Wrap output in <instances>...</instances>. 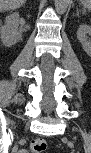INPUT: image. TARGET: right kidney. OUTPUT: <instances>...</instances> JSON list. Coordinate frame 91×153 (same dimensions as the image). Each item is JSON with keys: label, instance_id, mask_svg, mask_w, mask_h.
Listing matches in <instances>:
<instances>
[{"label": "right kidney", "instance_id": "right-kidney-1", "mask_svg": "<svg viewBox=\"0 0 91 153\" xmlns=\"http://www.w3.org/2000/svg\"><path fill=\"white\" fill-rule=\"evenodd\" d=\"M19 23L20 16L17 12L6 17L5 25L0 30L1 42L5 47H11L21 40L22 35L18 31Z\"/></svg>", "mask_w": 91, "mask_h": 153}]
</instances>
